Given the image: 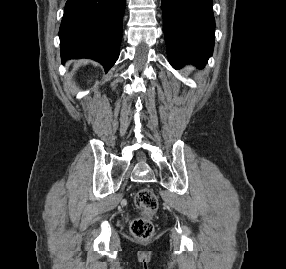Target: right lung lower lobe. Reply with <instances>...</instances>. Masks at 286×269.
<instances>
[{
	"label": "right lung lower lobe",
	"instance_id": "obj_1",
	"mask_svg": "<svg viewBox=\"0 0 286 269\" xmlns=\"http://www.w3.org/2000/svg\"><path fill=\"white\" fill-rule=\"evenodd\" d=\"M126 0H67L59 29L61 58H90L107 72L119 57Z\"/></svg>",
	"mask_w": 286,
	"mask_h": 269
}]
</instances>
